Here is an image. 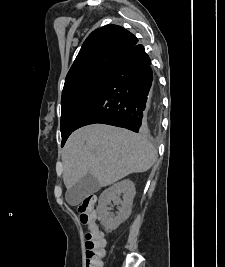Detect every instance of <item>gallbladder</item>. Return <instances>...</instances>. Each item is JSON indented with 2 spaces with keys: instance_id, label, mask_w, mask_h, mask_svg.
<instances>
[{
  "instance_id": "1",
  "label": "gallbladder",
  "mask_w": 225,
  "mask_h": 267,
  "mask_svg": "<svg viewBox=\"0 0 225 267\" xmlns=\"http://www.w3.org/2000/svg\"><path fill=\"white\" fill-rule=\"evenodd\" d=\"M100 183L91 174H86L74 186L67 190L66 201L76 206L80 204L87 196L97 192L100 189Z\"/></svg>"
}]
</instances>
